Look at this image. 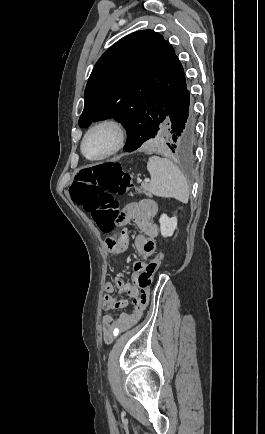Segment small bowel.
Instances as JSON below:
<instances>
[{"label":"small bowel","instance_id":"obj_1","mask_svg":"<svg viewBox=\"0 0 265 434\" xmlns=\"http://www.w3.org/2000/svg\"><path fill=\"white\" fill-rule=\"evenodd\" d=\"M158 204L151 199L129 202L123 209L119 224L126 226L131 222L137 225L142 234L135 238V245L144 259H150L155 252L154 239L159 234V227L155 221L158 214ZM128 245L126 232L115 234L105 240L107 251L116 257L121 256ZM144 263L138 261L134 264V274L131 278L137 279L136 274L141 273ZM118 290L119 295H115ZM132 298V307L128 312L113 314L112 312L126 307L129 301L121 295ZM151 292L145 289L140 295L139 291L125 281L120 275L114 277L113 282L106 281L102 297V308L107 311L101 317V334L106 344H110L117 336L135 325L142 317L144 309L148 308ZM141 298V299H140ZM141 302V303H140Z\"/></svg>","mask_w":265,"mask_h":434}]
</instances>
